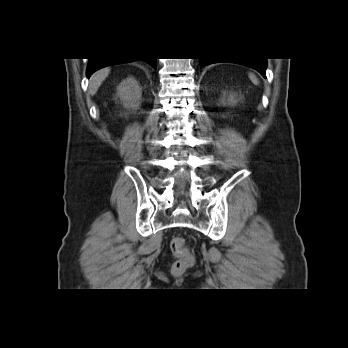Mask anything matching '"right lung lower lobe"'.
<instances>
[{"instance_id":"right-lung-lower-lobe-1","label":"right lung lower lobe","mask_w":348,"mask_h":348,"mask_svg":"<svg viewBox=\"0 0 348 348\" xmlns=\"http://www.w3.org/2000/svg\"><path fill=\"white\" fill-rule=\"evenodd\" d=\"M133 60H117V59H108V58H98V59H89L88 66H87V77L89 78L90 75L95 72L96 70L123 62H132ZM147 63H149L154 69H156L157 63L156 58H149L145 59Z\"/></svg>"}]
</instances>
